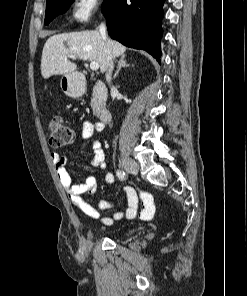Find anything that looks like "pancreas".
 Instances as JSON below:
<instances>
[{"label":"pancreas","instance_id":"cf45deb5","mask_svg":"<svg viewBox=\"0 0 247 296\" xmlns=\"http://www.w3.org/2000/svg\"><path fill=\"white\" fill-rule=\"evenodd\" d=\"M91 107L95 110V101L94 100L91 101Z\"/></svg>","mask_w":247,"mask_h":296}]
</instances>
